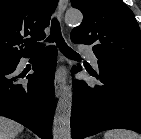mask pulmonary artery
I'll use <instances>...</instances> for the list:
<instances>
[{"mask_svg":"<svg viewBox=\"0 0 141 139\" xmlns=\"http://www.w3.org/2000/svg\"><path fill=\"white\" fill-rule=\"evenodd\" d=\"M79 50L89 57L91 63L95 67H98V59H97L96 55L94 54L93 50L90 47H88V46H80Z\"/></svg>","mask_w":141,"mask_h":139,"instance_id":"1","label":"pulmonary artery"}]
</instances>
